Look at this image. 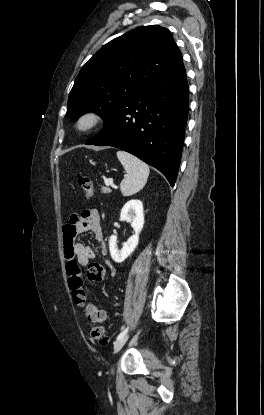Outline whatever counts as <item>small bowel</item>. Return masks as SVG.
Listing matches in <instances>:
<instances>
[{
  "mask_svg": "<svg viewBox=\"0 0 264 415\" xmlns=\"http://www.w3.org/2000/svg\"><path fill=\"white\" fill-rule=\"evenodd\" d=\"M100 214L96 209L84 211L81 215H71L67 225L64 228V257L67 262H76L79 267H85L90 260L95 258L94 249L78 240L76 235L91 231L94 234L102 255L107 254V246L103 236V232L99 223ZM110 268V273L114 274V270L110 263L106 261ZM102 311V310H101ZM104 319L106 313L102 311Z\"/></svg>",
  "mask_w": 264,
  "mask_h": 415,
  "instance_id": "small-bowel-1",
  "label": "small bowel"
}]
</instances>
